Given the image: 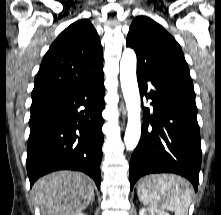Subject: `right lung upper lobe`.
Returning <instances> with one entry per match:
<instances>
[{
	"mask_svg": "<svg viewBox=\"0 0 221 215\" xmlns=\"http://www.w3.org/2000/svg\"><path fill=\"white\" fill-rule=\"evenodd\" d=\"M103 75V49L88 19L68 26L45 54L35 77L31 108L93 81Z\"/></svg>",
	"mask_w": 221,
	"mask_h": 215,
	"instance_id": "obj_1",
	"label": "right lung upper lobe"
}]
</instances>
